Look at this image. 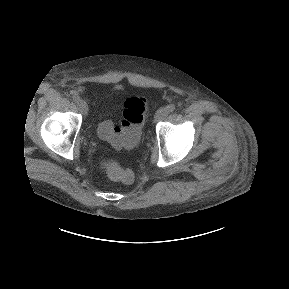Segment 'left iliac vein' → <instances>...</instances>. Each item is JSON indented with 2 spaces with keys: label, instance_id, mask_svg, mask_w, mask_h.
I'll list each match as a JSON object with an SVG mask.
<instances>
[{
  "label": "left iliac vein",
  "instance_id": "left-iliac-vein-1",
  "mask_svg": "<svg viewBox=\"0 0 289 289\" xmlns=\"http://www.w3.org/2000/svg\"><path fill=\"white\" fill-rule=\"evenodd\" d=\"M168 110L167 107H161L160 109H158L155 113V121H161L163 120L167 115H168Z\"/></svg>",
  "mask_w": 289,
  "mask_h": 289
}]
</instances>
